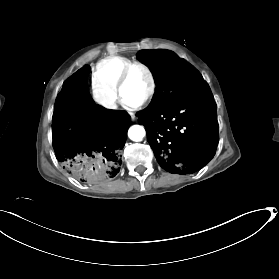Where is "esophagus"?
Returning <instances> with one entry per match:
<instances>
[{
    "instance_id": "obj_1",
    "label": "esophagus",
    "mask_w": 279,
    "mask_h": 279,
    "mask_svg": "<svg viewBox=\"0 0 279 279\" xmlns=\"http://www.w3.org/2000/svg\"><path fill=\"white\" fill-rule=\"evenodd\" d=\"M129 114H130L132 120H135V114L133 112H129Z\"/></svg>"
}]
</instances>
